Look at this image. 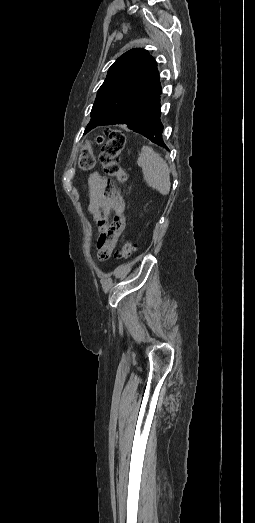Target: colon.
I'll return each mask as SVG.
<instances>
[{"mask_svg":"<svg viewBox=\"0 0 255 523\" xmlns=\"http://www.w3.org/2000/svg\"><path fill=\"white\" fill-rule=\"evenodd\" d=\"M103 141L102 136H98L95 142L100 143ZM125 145V135L119 129H113L108 132V140L103 145L101 153L99 155V161L103 168V171L118 180L120 183L127 181V173L121 166L120 154ZM96 159L92 149V143L87 141L82 145L79 156V168L82 171H89L94 168ZM136 251L135 244L125 239L123 245L118 252V257L122 259L130 258Z\"/></svg>","mask_w":255,"mask_h":523,"instance_id":"obj_1","label":"colon"}]
</instances>
